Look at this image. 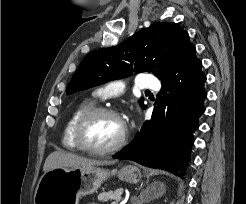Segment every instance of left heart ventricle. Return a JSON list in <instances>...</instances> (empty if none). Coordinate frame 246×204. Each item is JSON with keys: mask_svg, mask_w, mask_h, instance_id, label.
I'll use <instances>...</instances> for the list:
<instances>
[{"mask_svg": "<svg viewBox=\"0 0 246 204\" xmlns=\"http://www.w3.org/2000/svg\"><path fill=\"white\" fill-rule=\"evenodd\" d=\"M121 122L110 115L93 118L85 127L83 138L93 148H107L118 141L122 134Z\"/></svg>", "mask_w": 246, "mask_h": 204, "instance_id": "left-heart-ventricle-1", "label": "left heart ventricle"}]
</instances>
